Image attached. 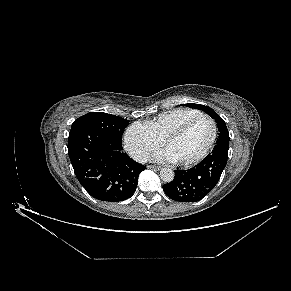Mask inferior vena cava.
Masks as SVG:
<instances>
[{"instance_id":"obj_1","label":"inferior vena cava","mask_w":291,"mask_h":291,"mask_svg":"<svg viewBox=\"0 0 291 291\" xmlns=\"http://www.w3.org/2000/svg\"><path fill=\"white\" fill-rule=\"evenodd\" d=\"M132 157L139 163H146L149 160L148 154L142 151L135 152Z\"/></svg>"}]
</instances>
